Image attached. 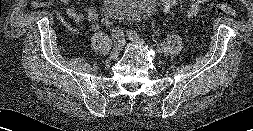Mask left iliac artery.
I'll return each mask as SVG.
<instances>
[{"instance_id": "44dca946", "label": "left iliac artery", "mask_w": 253, "mask_h": 131, "mask_svg": "<svg viewBox=\"0 0 253 131\" xmlns=\"http://www.w3.org/2000/svg\"><path fill=\"white\" fill-rule=\"evenodd\" d=\"M127 36H132V37H139V34L135 30H129L127 32ZM156 45V44H155ZM158 47V45H157Z\"/></svg>"}]
</instances>
